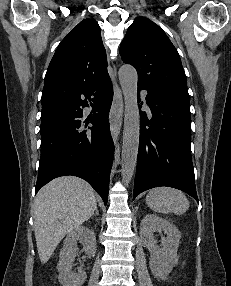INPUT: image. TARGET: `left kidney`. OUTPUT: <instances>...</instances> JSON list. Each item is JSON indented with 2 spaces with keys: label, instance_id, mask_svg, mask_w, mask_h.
<instances>
[{
  "label": "left kidney",
  "instance_id": "obj_1",
  "mask_svg": "<svg viewBox=\"0 0 231 286\" xmlns=\"http://www.w3.org/2000/svg\"><path fill=\"white\" fill-rule=\"evenodd\" d=\"M163 231L166 238L162 240V247L156 245L155 231ZM140 237L144 247L150 251L149 266L154 277L166 280L173 267L178 264V246L181 233L178 228L166 219L155 214L146 215L140 224Z\"/></svg>",
  "mask_w": 231,
  "mask_h": 286
}]
</instances>
